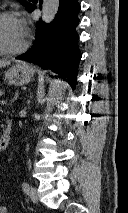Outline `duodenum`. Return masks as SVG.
<instances>
[{
    "label": "duodenum",
    "instance_id": "410a0bca",
    "mask_svg": "<svg viewBox=\"0 0 128 213\" xmlns=\"http://www.w3.org/2000/svg\"><path fill=\"white\" fill-rule=\"evenodd\" d=\"M11 140V123L8 121L7 127L0 136V151H4L10 144Z\"/></svg>",
    "mask_w": 128,
    "mask_h": 213
}]
</instances>
